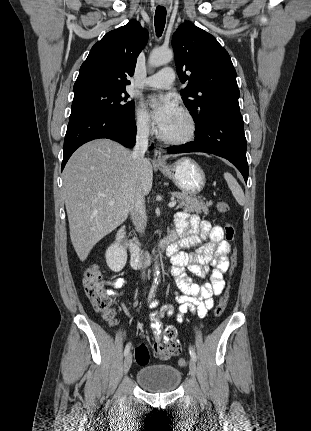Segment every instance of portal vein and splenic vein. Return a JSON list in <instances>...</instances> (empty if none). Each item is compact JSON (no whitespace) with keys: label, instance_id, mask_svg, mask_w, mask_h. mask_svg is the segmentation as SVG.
<instances>
[{"label":"portal vein and splenic vein","instance_id":"1","mask_svg":"<svg viewBox=\"0 0 311 431\" xmlns=\"http://www.w3.org/2000/svg\"><path fill=\"white\" fill-rule=\"evenodd\" d=\"M115 202H109V206H114ZM177 202H175V200H172V202H170V204H168L169 208H174V206H176Z\"/></svg>","mask_w":311,"mask_h":431}]
</instances>
